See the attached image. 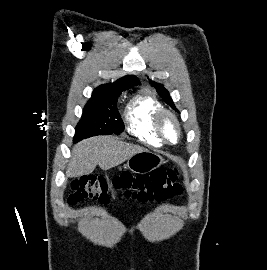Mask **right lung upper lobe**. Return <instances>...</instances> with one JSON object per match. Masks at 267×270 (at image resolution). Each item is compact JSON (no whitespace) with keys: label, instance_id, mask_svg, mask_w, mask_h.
<instances>
[{"label":"right lung upper lobe","instance_id":"obj_1","mask_svg":"<svg viewBox=\"0 0 267 270\" xmlns=\"http://www.w3.org/2000/svg\"><path fill=\"white\" fill-rule=\"evenodd\" d=\"M140 82L135 76H125L118 79L114 83L104 84L97 87L94 91H115L122 92L127 90L135 85H138Z\"/></svg>","mask_w":267,"mask_h":270}]
</instances>
